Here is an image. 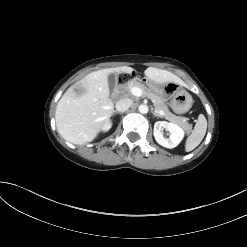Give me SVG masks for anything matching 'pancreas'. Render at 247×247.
I'll return each mask as SVG.
<instances>
[{
    "label": "pancreas",
    "instance_id": "cf45deb5",
    "mask_svg": "<svg viewBox=\"0 0 247 247\" xmlns=\"http://www.w3.org/2000/svg\"><path fill=\"white\" fill-rule=\"evenodd\" d=\"M133 87H139L145 96H147L149 99L152 100L154 107L157 111H163L164 115H162L165 119L169 120L170 122L176 123L184 128V130L187 133H190L192 129V125L189 124L184 117L176 116L173 113L170 112L168 106L165 104V100L163 97H161L155 89L147 88L142 83L137 82H130L127 84L128 89H131Z\"/></svg>",
    "mask_w": 247,
    "mask_h": 247
}]
</instances>
